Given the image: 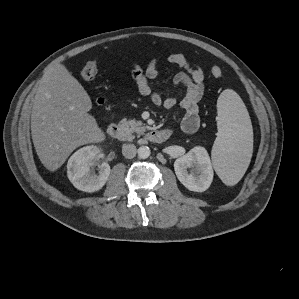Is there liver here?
Returning <instances> with one entry per match:
<instances>
[{
    "mask_svg": "<svg viewBox=\"0 0 299 299\" xmlns=\"http://www.w3.org/2000/svg\"><path fill=\"white\" fill-rule=\"evenodd\" d=\"M91 99L66 67L47 69L34 97L31 135L36 153L46 169L56 171L79 146L105 139L88 112Z\"/></svg>",
    "mask_w": 299,
    "mask_h": 299,
    "instance_id": "obj_1",
    "label": "liver"
}]
</instances>
